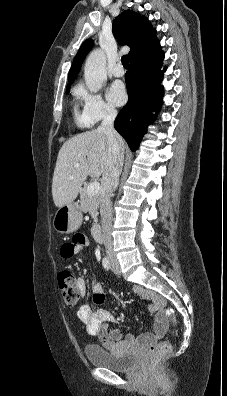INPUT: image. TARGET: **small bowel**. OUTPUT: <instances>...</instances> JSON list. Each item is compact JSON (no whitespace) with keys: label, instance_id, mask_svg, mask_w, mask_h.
Wrapping results in <instances>:
<instances>
[{"label":"small bowel","instance_id":"small-bowel-1","mask_svg":"<svg viewBox=\"0 0 227 396\" xmlns=\"http://www.w3.org/2000/svg\"><path fill=\"white\" fill-rule=\"evenodd\" d=\"M88 245L87 238L82 234L74 236L71 242L62 246L61 252L63 257L69 258L74 254L82 252ZM77 287L80 295L86 293V281L83 278L77 280ZM91 290L94 302L98 305L104 303L105 294L102 284L93 279ZM133 292L144 300L150 301V312L154 315V333H146L136 337L128 334L124 339L120 329L113 327L115 321L113 314L105 309L93 311L88 305H82L78 309V318L85 324L90 335L98 337L100 343L107 349H114L121 344H148L153 347L157 341L162 338L169 330V324L162 314V307L165 300L155 292L145 289L139 285L133 286Z\"/></svg>","mask_w":227,"mask_h":396}]
</instances>
